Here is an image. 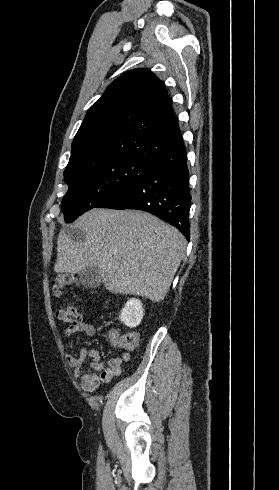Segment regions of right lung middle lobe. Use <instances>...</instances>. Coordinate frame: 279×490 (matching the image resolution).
Wrapping results in <instances>:
<instances>
[{
  "label": "right lung middle lobe",
  "instance_id": "obj_1",
  "mask_svg": "<svg viewBox=\"0 0 279 490\" xmlns=\"http://www.w3.org/2000/svg\"><path fill=\"white\" fill-rule=\"evenodd\" d=\"M152 165V162L138 159L108 158L65 173L69 186L61 205L65 222H73L111 193L141 178Z\"/></svg>",
  "mask_w": 279,
  "mask_h": 490
}]
</instances>
